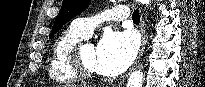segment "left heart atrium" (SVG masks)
<instances>
[{
	"label": "left heart atrium",
	"instance_id": "obj_1",
	"mask_svg": "<svg viewBox=\"0 0 205 87\" xmlns=\"http://www.w3.org/2000/svg\"><path fill=\"white\" fill-rule=\"evenodd\" d=\"M137 46L132 32L105 33L96 47L95 71L106 76L122 73L134 60Z\"/></svg>",
	"mask_w": 205,
	"mask_h": 87
}]
</instances>
